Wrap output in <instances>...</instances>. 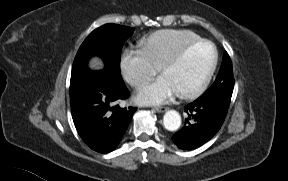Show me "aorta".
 <instances>
[{
  "instance_id": "1",
  "label": "aorta",
  "mask_w": 288,
  "mask_h": 181,
  "mask_svg": "<svg viewBox=\"0 0 288 181\" xmlns=\"http://www.w3.org/2000/svg\"><path fill=\"white\" fill-rule=\"evenodd\" d=\"M164 127L169 131H176L181 126V116L175 110H169L163 117Z\"/></svg>"
}]
</instances>
